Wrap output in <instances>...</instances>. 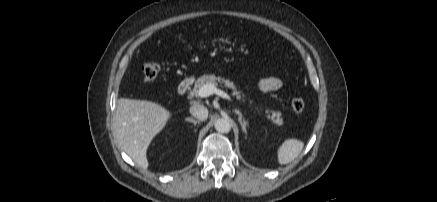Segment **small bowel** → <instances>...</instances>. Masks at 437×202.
<instances>
[{
    "label": "small bowel",
    "instance_id": "1",
    "mask_svg": "<svg viewBox=\"0 0 437 202\" xmlns=\"http://www.w3.org/2000/svg\"><path fill=\"white\" fill-rule=\"evenodd\" d=\"M283 82L280 78L269 76L261 78L258 82V87L263 92H272L281 89Z\"/></svg>",
    "mask_w": 437,
    "mask_h": 202
}]
</instances>
